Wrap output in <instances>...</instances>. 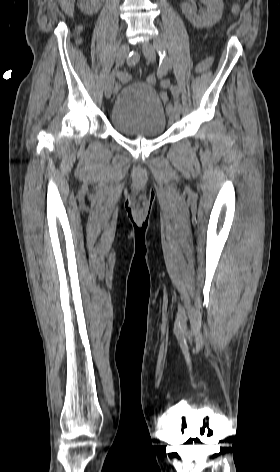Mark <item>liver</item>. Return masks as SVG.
<instances>
[{"mask_svg": "<svg viewBox=\"0 0 280 472\" xmlns=\"http://www.w3.org/2000/svg\"><path fill=\"white\" fill-rule=\"evenodd\" d=\"M58 2L65 14L73 16L75 0H58Z\"/></svg>", "mask_w": 280, "mask_h": 472, "instance_id": "1", "label": "liver"}]
</instances>
